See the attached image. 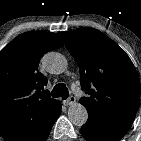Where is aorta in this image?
Returning a JSON list of instances; mask_svg holds the SVG:
<instances>
[{"label": "aorta", "instance_id": "762f6f07", "mask_svg": "<svg viewBox=\"0 0 141 141\" xmlns=\"http://www.w3.org/2000/svg\"><path fill=\"white\" fill-rule=\"evenodd\" d=\"M45 67L48 72L58 74L64 68L63 57L58 53H49L44 57ZM69 120L74 126L82 127L88 120V113L81 105H74L68 111Z\"/></svg>", "mask_w": 141, "mask_h": 141}]
</instances>
